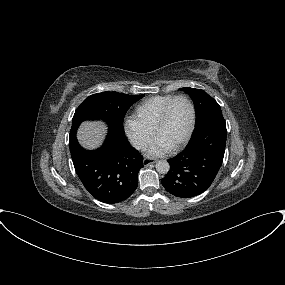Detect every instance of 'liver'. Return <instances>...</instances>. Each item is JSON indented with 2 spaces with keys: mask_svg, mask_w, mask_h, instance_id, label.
Returning a JSON list of instances; mask_svg holds the SVG:
<instances>
[{
  "mask_svg": "<svg viewBox=\"0 0 285 285\" xmlns=\"http://www.w3.org/2000/svg\"><path fill=\"white\" fill-rule=\"evenodd\" d=\"M106 127L101 122H84L78 130V140L87 149H95L102 144Z\"/></svg>",
  "mask_w": 285,
  "mask_h": 285,
  "instance_id": "1",
  "label": "liver"
}]
</instances>
